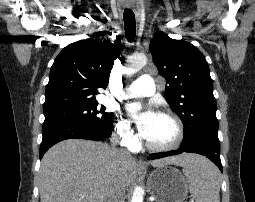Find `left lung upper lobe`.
I'll list each match as a JSON object with an SVG mask.
<instances>
[{"mask_svg": "<svg viewBox=\"0 0 255 202\" xmlns=\"http://www.w3.org/2000/svg\"><path fill=\"white\" fill-rule=\"evenodd\" d=\"M153 62L166 79L165 99L182 120V145L218 139L216 100L208 63L191 43L157 32L150 42Z\"/></svg>", "mask_w": 255, "mask_h": 202, "instance_id": "obj_1", "label": "left lung upper lobe"}]
</instances>
